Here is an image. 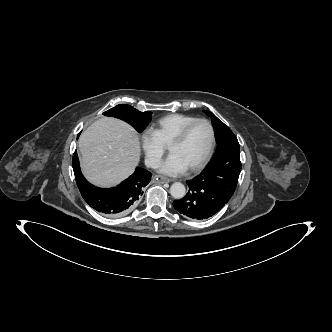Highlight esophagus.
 Listing matches in <instances>:
<instances>
[{"label":"esophagus","mask_w":332,"mask_h":332,"mask_svg":"<svg viewBox=\"0 0 332 332\" xmlns=\"http://www.w3.org/2000/svg\"><path fill=\"white\" fill-rule=\"evenodd\" d=\"M153 182H155V183H166V182H170V179H168L164 176L155 175L153 177Z\"/></svg>","instance_id":"34e87169"}]
</instances>
